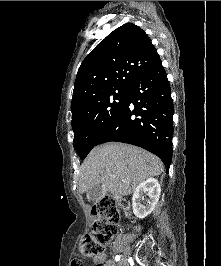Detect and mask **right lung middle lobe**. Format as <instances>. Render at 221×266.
Returning a JSON list of instances; mask_svg holds the SVG:
<instances>
[{
    "instance_id": "1",
    "label": "right lung middle lobe",
    "mask_w": 221,
    "mask_h": 266,
    "mask_svg": "<svg viewBox=\"0 0 221 266\" xmlns=\"http://www.w3.org/2000/svg\"><path fill=\"white\" fill-rule=\"evenodd\" d=\"M130 88L106 90L91 97L81 111L72 116L73 146L83 160L104 130L126 105Z\"/></svg>"
}]
</instances>
